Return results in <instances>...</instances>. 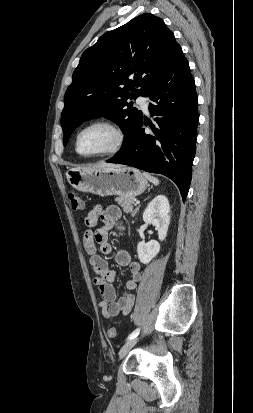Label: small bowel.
<instances>
[{"label":"small bowel","instance_id":"small-bowel-1","mask_svg":"<svg viewBox=\"0 0 253 413\" xmlns=\"http://www.w3.org/2000/svg\"><path fill=\"white\" fill-rule=\"evenodd\" d=\"M122 212L116 205H110L103 208L100 205L95 206L85 217L84 223L87 230L83 235V244L88 254V264L96 276L93 279L101 294L99 309L105 318H115L119 314L128 315L134 305V291L137 283L141 279V265L132 261L131 255L127 250H120L116 253L115 261L121 267H127L130 277L126 282V291L117 298L113 282L115 280V271L109 267L108 262L98 253L96 246L99 247L101 254L109 255L112 247L108 241L109 231L117 227L119 231H124L121 224ZM102 221V226L94 229L98 221Z\"/></svg>","mask_w":253,"mask_h":413}]
</instances>
